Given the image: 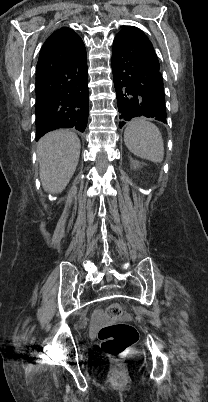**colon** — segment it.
Instances as JSON below:
<instances>
[{
    "instance_id": "5ec220e1",
    "label": "colon",
    "mask_w": 208,
    "mask_h": 402,
    "mask_svg": "<svg viewBox=\"0 0 208 402\" xmlns=\"http://www.w3.org/2000/svg\"><path fill=\"white\" fill-rule=\"evenodd\" d=\"M122 312L123 309L119 306L107 309L109 318L118 319ZM139 335L135 324L115 323L114 320H111L110 324H102L98 332V338L103 342V352L115 360L123 355Z\"/></svg>"
}]
</instances>
